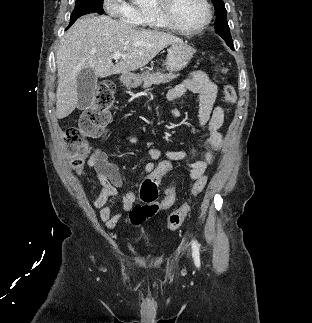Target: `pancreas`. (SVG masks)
Here are the masks:
<instances>
[{"mask_svg":"<svg viewBox=\"0 0 312 323\" xmlns=\"http://www.w3.org/2000/svg\"><path fill=\"white\" fill-rule=\"evenodd\" d=\"M179 74H161V72H156V74H147L146 78H144L143 88H150L152 84H166V82H171V80H175Z\"/></svg>","mask_w":312,"mask_h":323,"instance_id":"1","label":"pancreas"}]
</instances>
